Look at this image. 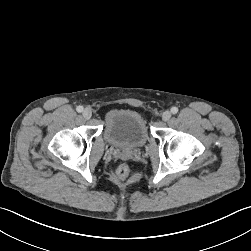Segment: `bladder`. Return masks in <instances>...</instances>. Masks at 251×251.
Returning <instances> with one entry per match:
<instances>
[{"label": "bladder", "mask_w": 251, "mask_h": 251, "mask_svg": "<svg viewBox=\"0 0 251 251\" xmlns=\"http://www.w3.org/2000/svg\"><path fill=\"white\" fill-rule=\"evenodd\" d=\"M104 136L118 148L135 149L147 142L149 133L139 112L133 109H115L106 115Z\"/></svg>", "instance_id": "1"}]
</instances>
